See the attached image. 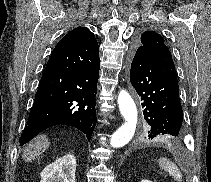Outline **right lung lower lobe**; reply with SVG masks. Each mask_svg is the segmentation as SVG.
<instances>
[{
	"instance_id": "obj_1",
	"label": "right lung lower lobe",
	"mask_w": 211,
	"mask_h": 182,
	"mask_svg": "<svg viewBox=\"0 0 211 182\" xmlns=\"http://www.w3.org/2000/svg\"><path fill=\"white\" fill-rule=\"evenodd\" d=\"M99 68V47L92 32L77 40H60L44 70L20 145L55 125L78 128L90 141L97 121Z\"/></svg>"
}]
</instances>
